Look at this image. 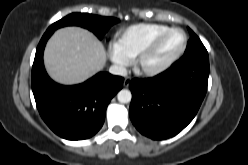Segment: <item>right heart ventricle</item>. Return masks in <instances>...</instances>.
<instances>
[{
  "label": "right heart ventricle",
  "mask_w": 248,
  "mask_h": 165,
  "mask_svg": "<svg viewBox=\"0 0 248 165\" xmlns=\"http://www.w3.org/2000/svg\"><path fill=\"white\" fill-rule=\"evenodd\" d=\"M168 26L156 23H139L121 30L117 37V46L131 60L161 31Z\"/></svg>",
  "instance_id": "e07e8e85"
}]
</instances>
